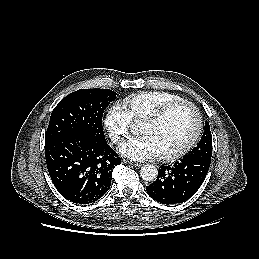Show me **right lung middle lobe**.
I'll return each mask as SVG.
<instances>
[{
    "label": "right lung middle lobe",
    "mask_w": 259,
    "mask_h": 259,
    "mask_svg": "<svg viewBox=\"0 0 259 259\" xmlns=\"http://www.w3.org/2000/svg\"><path fill=\"white\" fill-rule=\"evenodd\" d=\"M115 99L116 93L109 89H80L70 93L52 111L45 145L68 135L104 140L102 116Z\"/></svg>",
    "instance_id": "obj_1"
}]
</instances>
